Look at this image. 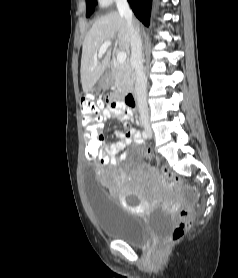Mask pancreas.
Returning a JSON list of instances; mask_svg holds the SVG:
<instances>
[{
  "label": "pancreas",
  "instance_id": "pancreas-1",
  "mask_svg": "<svg viewBox=\"0 0 238 278\" xmlns=\"http://www.w3.org/2000/svg\"><path fill=\"white\" fill-rule=\"evenodd\" d=\"M112 72L115 86L120 93H128L133 90L135 75L129 64L114 63Z\"/></svg>",
  "mask_w": 238,
  "mask_h": 278
}]
</instances>
